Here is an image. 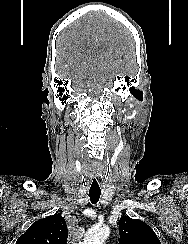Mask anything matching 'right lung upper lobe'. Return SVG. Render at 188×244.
<instances>
[{
	"mask_svg": "<svg viewBox=\"0 0 188 244\" xmlns=\"http://www.w3.org/2000/svg\"><path fill=\"white\" fill-rule=\"evenodd\" d=\"M68 229L60 214L34 222L16 244H66Z\"/></svg>",
	"mask_w": 188,
	"mask_h": 244,
	"instance_id": "right-lung-upper-lobe-1",
	"label": "right lung upper lobe"
}]
</instances>
